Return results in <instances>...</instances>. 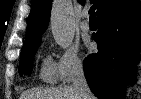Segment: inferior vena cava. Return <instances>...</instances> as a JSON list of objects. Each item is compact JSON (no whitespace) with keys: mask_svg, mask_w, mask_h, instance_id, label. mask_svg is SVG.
<instances>
[{"mask_svg":"<svg viewBox=\"0 0 141 99\" xmlns=\"http://www.w3.org/2000/svg\"><path fill=\"white\" fill-rule=\"evenodd\" d=\"M72 86L77 90L80 99H95L87 84L81 63H77L73 66Z\"/></svg>","mask_w":141,"mask_h":99,"instance_id":"1","label":"inferior vena cava"}]
</instances>
